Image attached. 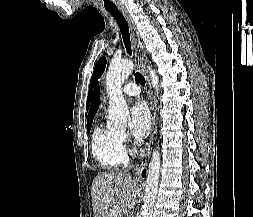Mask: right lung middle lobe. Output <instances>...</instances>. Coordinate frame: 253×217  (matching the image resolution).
I'll use <instances>...</instances> for the list:
<instances>
[{
  "mask_svg": "<svg viewBox=\"0 0 253 217\" xmlns=\"http://www.w3.org/2000/svg\"><path fill=\"white\" fill-rule=\"evenodd\" d=\"M91 125H92V122L87 123V132H88V133H89V131H90Z\"/></svg>",
  "mask_w": 253,
  "mask_h": 217,
  "instance_id": "obj_1",
  "label": "right lung middle lobe"
}]
</instances>
